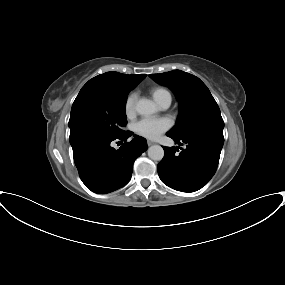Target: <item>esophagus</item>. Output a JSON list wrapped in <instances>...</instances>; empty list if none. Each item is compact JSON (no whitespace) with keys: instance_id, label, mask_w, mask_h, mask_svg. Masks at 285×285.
<instances>
[{"instance_id":"1","label":"esophagus","mask_w":285,"mask_h":285,"mask_svg":"<svg viewBox=\"0 0 285 285\" xmlns=\"http://www.w3.org/2000/svg\"><path fill=\"white\" fill-rule=\"evenodd\" d=\"M147 144H148V146H151V145H153V144H154V142H153V141H151V140H147Z\"/></svg>"}]
</instances>
